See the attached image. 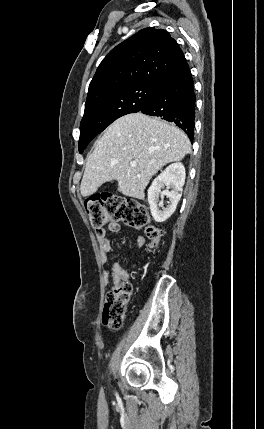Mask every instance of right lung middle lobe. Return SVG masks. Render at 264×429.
<instances>
[{
  "label": "right lung middle lobe",
  "mask_w": 264,
  "mask_h": 429,
  "mask_svg": "<svg viewBox=\"0 0 264 429\" xmlns=\"http://www.w3.org/2000/svg\"><path fill=\"white\" fill-rule=\"evenodd\" d=\"M156 85L136 84L115 90L89 102L80 123L79 152L119 117L139 112L153 94Z\"/></svg>",
  "instance_id": "dd1d6c3e"
}]
</instances>
